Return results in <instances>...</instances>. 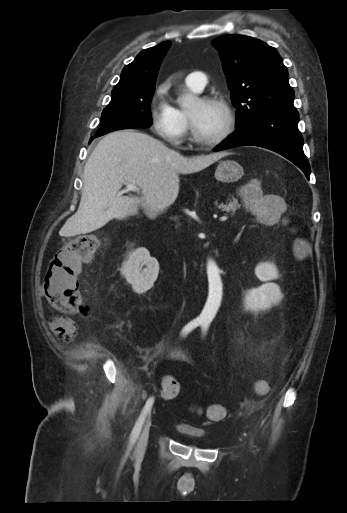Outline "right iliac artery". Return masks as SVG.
I'll use <instances>...</instances> for the list:
<instances>
[{
    "instance_id": "obj_1",
    "label": "right iliac artery",
    "mask_w": 347,
    "mask_h": 513,
    "mask_svg": "<svg viewBox=\"0 0 347 513\" xmlns=\"http://www.w3.org/2000/svg\"><path fill=\"white\" fill-rule=\"evenodd\" d=\"M203 322L202 320L200 319H194L192 321H190L183 329H182V335H186L188 334L189 332H191L194 328H196L197 326L201 325ZM153 402H154V398L153 397H150L144 408L142 409V412L138 418V420L136 421L135 423V426L130 434V442H129V449L132 448V446L135 444L136 440L138 439L139 437V434L141 432V429H142V426L144 424V421H145V418L147 416V414L150 412V409L153 405Z\"/></svg>"
}]
</instances>
